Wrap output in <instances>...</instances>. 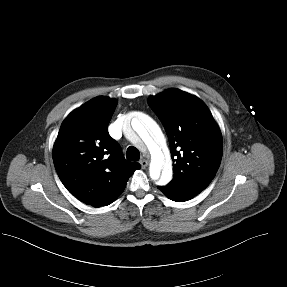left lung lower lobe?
I'll use <instances>...</instances> for the list:
<instances>
[{
  "instance_id": "left-lung-lower-lobe-1",
  "label": "left lung lower lobe",
  "mask_w": 287,
  "mask_h": 287,
  "mask_svg": "<svg viewBox=\"0 0 287 287\" xmlns=\"http://www.w3.org/2000/svg\"><path fill=\"white\" fill-rule=\"evenodd\" d=\"M160 189L169 199L177 202H184L187 200L192 199L191 197L179 192L178 190L166 185V186H158Z\"/></svg>"
}]
</instances>
